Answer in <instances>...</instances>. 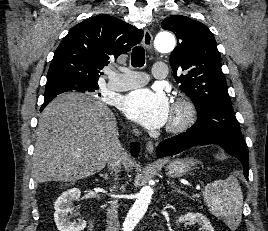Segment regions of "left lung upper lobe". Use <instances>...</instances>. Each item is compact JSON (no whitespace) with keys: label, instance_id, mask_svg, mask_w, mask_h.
Returning <instances> with one entry per match:
<instances>
[{"label":"left lung upper lobe","instance_id":"5c2ea615","mask_svg":"<svg viewBox=\"0 0 268 231\" xmlns=\"http://www.w3.org/2000/svg\"><path fill=\"white\" fill-rule=\"evenodd\" d=\"M161 26L177 36L170 64L181 90L198 112L197 122L188 130L248 149L227 91L220 53L208 27L181 15L164 19Z\"/></svg>","mask_w":268,"mask_h":231}]
</instances>
